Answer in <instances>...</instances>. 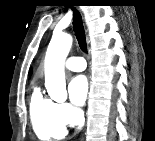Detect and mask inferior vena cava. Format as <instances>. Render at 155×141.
Segmentation results:
<instances>
[{
	"instance_id": "inferior-vena-cava-1",
	"label": "inferior vena cava",
	"mask_w": 155,
	"mask_h": 141,
	"mask_svg": "<svg viewBox=\"0 0 155 141\" xmlns=\"http://www.w3.org/2000/svg\"><path fill=\"white\" fill-rule=\"evenodd\" d=\"M83 123H84V115L81 114L80 119H79V125L81 126L83 125Z\"/></svg>"
}]
</instances>
